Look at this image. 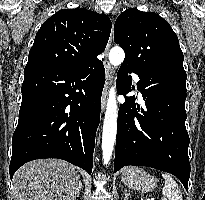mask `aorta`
Returning a JSON list of instances; mask_svg holds the SVG:
<instances>
[{"label":"aorta","mask_w":205,"mask_h":200,"mask_svg":"<svg viewBox=\"0 0 205 200\" xmlns=\"http://www.w3.org/2000/svg\"><path fill=\"white\" fill-rule=\"evenodd\" d=\"M125 58L123 49L119 46L113 47L109 52V62L112 66L121 65ZM117 103H116V87H111L107 100V108L103 123L102 133V154L104 164L107 165L112 157L114 143L117 133Z\"/></svg>","instance_id":"obj_1"}]
</instances>
